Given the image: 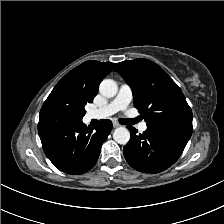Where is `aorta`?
<instances>
[{
  "label": "aorta",
  "instance_id": "obj_1",
  "mask_svg": "<svg viewBox=\"0 0 224 224\" xmlns=\"http://www.w3.org/2000/svg\"><path fill=\"white\" fill-rule=\"evenodd\" d=\"M101 95L107 98L114 97L118 92L117 83L111 79H104L99 86ZM113 139L121 145H125L130 140V132L125 127H118L113 132Z\"/></svg>",
  "mask_w": 224,
  "mask_h": 224
}]
</instances>
